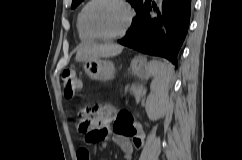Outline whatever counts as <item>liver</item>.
Masks as SVG:
<instances>
[{"mask_svg": "<svg viewBox=\"0 0 242 160\" xmlns=\"http://www.w3.org/2000/svg\"><path fill=\"white\" fill-rule=\"evenodd\" d=\"M123 46L113 43L91 44L82 46L76 54L77 61H90L119 55Z\"/></svg>", "mask_w": 242, "mask_h": 160, "instance_id": "obj_1", "label": "liver"}]
</instances>
